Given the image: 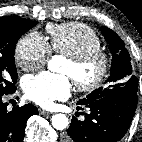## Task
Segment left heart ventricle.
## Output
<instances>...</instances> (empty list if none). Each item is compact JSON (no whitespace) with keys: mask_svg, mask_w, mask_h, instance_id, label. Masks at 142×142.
<instances>
[{"mask_svg":"<svg viewBox=\"0 0 142 142\" xmlns=\"http://www.w3.org/2000/svg\"><path fill=\"white\" fill-rule=\"evenodd\" d=\"M61 71L72 78L74 76H78L83 79H91L96 75L98 71V66L97 64L93 63L85 67L81 71H77L69 61H66Z\"/></svg>","mask_w":142,"mask_h":142,"instance_id":"left-heart-ventricle-1","label":"left heart ventricle"}]
</instances>
